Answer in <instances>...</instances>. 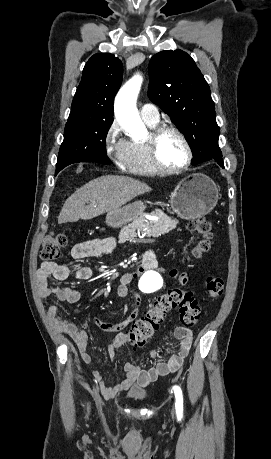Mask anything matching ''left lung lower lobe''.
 <instances>
[{
	"label": "left lung lower lobe",
	"mask_w": 271,
	"mask_h": 459,
	"mask_svg": "<svg viewBox=\"0 0 271 459\" xmlns=\"http://www.w3.org/2000/svg\"><path fill=\"white\" fill-rule=\"evenodd\" d=\"M209 161H216L222 168H224L222 157L221 158L216 157V158H214L212 160H209Z\"/></svg>",
	"instance_id": "0a47b994"
}]
</instances>
